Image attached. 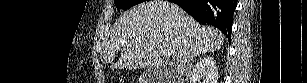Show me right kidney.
<instances>
[{"label": "right kidney", "mask_w": 307, "mask_h": 83, "mask_svg": "<svg viewBox=\"0 0 307 83\" xmlns=\"http://www.w3.org/2000/svg\"><path fill=\"white\" fill-rule=\"evenodd\" d=\"M218 69L216 61L212 56L201 58L190 77V83H217L218 82Z\"/></svg>", "instance_id": "1"}]
</instances>
